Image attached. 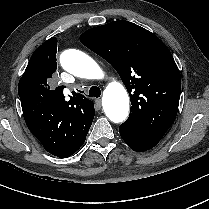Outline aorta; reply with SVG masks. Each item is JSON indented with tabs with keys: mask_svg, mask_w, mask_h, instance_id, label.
<instances>
[{
	"mask_svg": "<svg viewBox=\"0 0 209 209\" xmlns=\"http://www.w3.org/2000/svg\"><path fill=\"white\" fill-rule=\"evenodd\" d=\"M62 67L69 73L85 79H102L104 72L87 54L69 49L60 56ZM103 109L114 123L123 122L129 114V96L124 86L116 81L109 83L104 91Z\"/></svg>",
	"mask_w": 209,
	"mask_h": 209,
	"instance_id": "aorta-1",
	"label": "aorta"
}]
</instances>
